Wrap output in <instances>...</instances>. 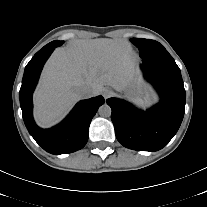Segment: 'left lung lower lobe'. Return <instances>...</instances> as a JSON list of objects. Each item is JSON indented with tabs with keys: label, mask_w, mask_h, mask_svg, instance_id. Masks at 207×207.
Returning a JSON list of instances; mask_svg holds the SVG:
<instances>
[{
	"label": "left lung lower lobe",
	"mask_w": 207,
	"mask_h": 207,
	"mask_svg": "<svg viewBox=\"0 0 207 207\" xmlns=\"http://www.w3.org/2000/svg\"><path fill=\"white\" fill-rule=\"evenodd\" d=\"M145 78L161 96L160 102L142 111L117 98H109L111 119L118 141L137 151H158L176 134L184 116L185 89L181 72L169 56L142 58Z\"/></svg>",
	"instance_id": "0a47b994"
}]
</instances>
